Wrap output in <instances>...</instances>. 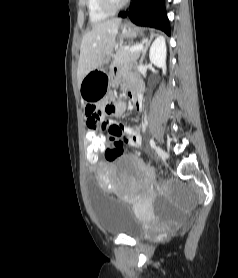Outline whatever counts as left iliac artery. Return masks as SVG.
Here are the masks:
<instances>
[{
    "label": "left iliac artery",
    "instance_id": "obj_1",
    "mask_svg": "<svg viewBox=\"0 0 238 278\" xmlns=\"http://www.w3.org/2000/svg\"><path fill=\"white\" fill-rule=\"evenodd\" d=\"M150 145H151L152 148H155V142H154L153 139H150Z\"/></svg>",
    "mask_w": 238,
    "mask_h": 278
}]
</instances>
